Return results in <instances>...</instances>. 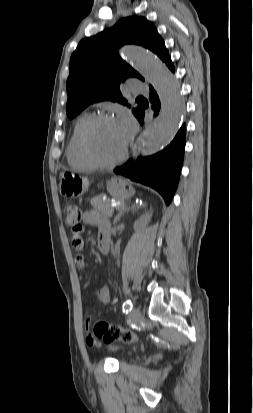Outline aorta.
<instances>
[{
  "label": "aorta",
  "instance_id": "762f6f07",
  "mask_svg": "<svg viewBox=\"0 0 253 413\" xmlns=\"http://www.w3.org/2000/svg\"><path fill=\"white\" fill-rule=\"evenodd\" d=\"M122 52L126 60L153 85L161 101L159 116L139 140L140 153L153 155L175 137L185 113L184 99L177 81L155 54L134 45L124 47Z\"/></svg>",
  "mask_w": 253,
  "mask_h": 413
}]
</instances>
